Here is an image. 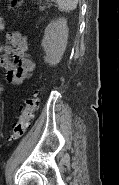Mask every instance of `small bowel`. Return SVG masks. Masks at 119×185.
Masks as SVG:
<instances>
[{"mask_svg": "<svg viewBox=\"0 0 119 185\" xmlns=\"http://www.w3.org/2000/svg\"><path fill=\"white\" fill-rule=\"evenodd\" d=\"M0 66L6 71L7 81L12 84H21L35 70L26 38L20 32L6 34V43L0 47Z\"/></svg>", "mask_w": 119, "mask_h": 185, "instance_id": "1", "label": "small bowel"}]
</instances>
